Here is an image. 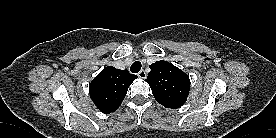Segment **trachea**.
Returning <instances> with one entry per match:
<instances>
[{
  "mask_svg": "<svg viewBox=\"0 0 276 138\" xmlns=\"http://www.w3.org/2000/svg\"><path fill=\"white\" fill-rule=\"evenodd\" d=\"M141 67H142L141 62L140 61H135L131 65L130 70H131L132 73H137L141 70Z\"/></svg>",
  "mask_w": 276,
  "mask_h": 138,
  "instance_id": "obj_1",
  "label": "trachea"
}]
</instances>
